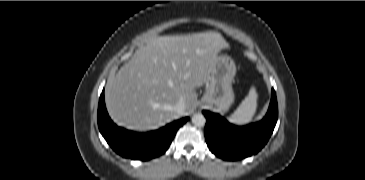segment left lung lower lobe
<instances>
[{
	"label": "left lung lower lobe",
	"mask_w": 365,
	"mask_h": 180,
	"mask_svg": "<svg viewBox=\"0 0 365 180\" xmlns=\"http://www.w3.org/2000/svg\"><path fill=\"white\" fill-rule=\"evenodd\" d=\"M206 117L205 139L209 149L224 160H238L260 151L269 140L278 119V105L272 88L266 116L257 123L234 126L223 117L203 111Z\"/></svg>",
	"instance_id": "1"
}]
</instances>
